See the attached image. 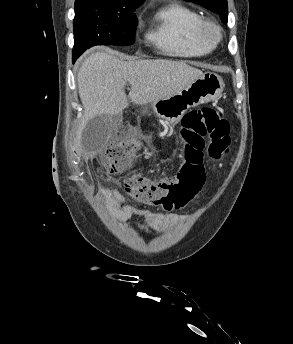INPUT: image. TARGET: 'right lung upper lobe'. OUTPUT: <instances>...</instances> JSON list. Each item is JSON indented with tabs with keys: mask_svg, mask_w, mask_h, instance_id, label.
<instances>
[{
	"mask_svg": "<svg viewBox=\"0 0 293 344\" xmlns=\"http://www.w3.org/2000/svg\"><path fill=\"white\" fill-rule=\"evenodd\" d=\"M83 0H76L75 4L81 3ZM100 1L108 4L124 5V6H140L144 0H93Z\"/></svg>",
	"mask_w": 293,
	"mask_h": 344,
	"instance_id": "1",
	"label": "right lung upper lobe"
}]
</instances>
